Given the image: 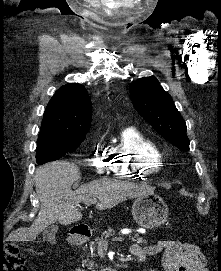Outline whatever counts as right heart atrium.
Returning <instances> with one entry per match:
<instances>
[{
	"mask_svg": "<svg viewBox=\"0 0 221 271\" xmlns=\"http://www.w3.org/2000/svg\"><path fill=\"white\" fill-rule=\"evenodd\" d=\"M97 157H94V170H100V176L102 177L103 173H114L115 171H108L107 164H110V161H115L114 156L118 154H111V151H97Z\"/></svg>",
	"mask_w": 221,
	"mask_h": 271,
	"instance_id": "1",
	"label": "right heart atrium"
}]
</instances>
